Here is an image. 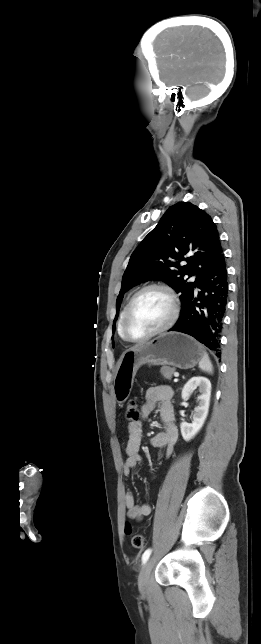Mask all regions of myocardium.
Here are the masks:
<instances>
[{
  "label": "myocardium",
  "instance_id": "myocardium-1",
  "mask_svg": "<svg viewBox=\"0 0 261 644\" xmlns=\"http://www.w3.org/2000/svg\"><path fill=\"white\" fill-rule=\"evenodd\" d=\"M151 289H158V290H161V291H163V292H165L167 294V296L170 299V303H171L170 317L168 318V320L166 321V323L164 325H162L160 328L156 329L155 331L149 333L148 335L143 336V337H133L130 334L129 330H128V320H129V316H130L132 307H133L135 301L137 300V298L141 294H143L145 291H148V290H151ZM179 312H180V303H179L178 296L170 286H168V285H166L164 283H150V284H147V285L141 287L138 291H136L134 293V295L131 297V299L129 300V302L127 303V305H126V308H125L124 313H123L122 323H121L123 336L127 341L132 342V343H141V342H145L147 340H150V339H152V338H154V337H156V336L168 331L169 329H171L174 326V324L176 323V321H177V319L179 317Z\"/></svg>",
  "mask_w": 261,
  "mask_h": 644
}]
</instances>
